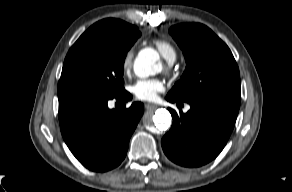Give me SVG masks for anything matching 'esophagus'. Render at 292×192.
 <instances>
[{"mask_svg": "<svg viewBox=\"0 0 292 192\" xmlns=\"http://www.w3.org/2000/svg\"><path fill=\"white\" fill-rule=\"evenodd\" d=\"M145 108L147 110L155 109V108H157V105L156 104H152V103H147V104H145Z\"/></svg>", "mask_w": 292, "mask_h": 192, "instance_id": "1", "label": "esophagus"}]
</instances>
